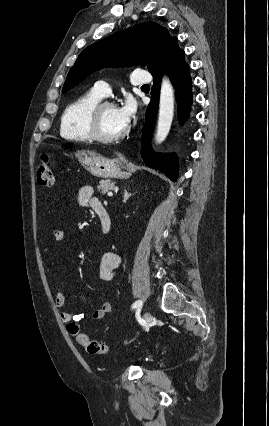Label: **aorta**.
<instances>
[{
    "label": "aorta",
    "instance_id": "762f6f07",
    "mask_svg": "<svg viewBox=\"0 0 269 426\" xmlns=\"http://www.w3.org/2000/svg\"><path fill=\"white\" fill-rule=\"evenodd\" d=\"M174 116V90L168 78L164 77L161 83L159 116L155 139L163 142L169 134Z\"/></svg>",
    "mask_w": 269,
    "mask_h": 426
}]
</instances>
